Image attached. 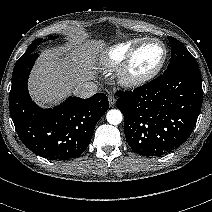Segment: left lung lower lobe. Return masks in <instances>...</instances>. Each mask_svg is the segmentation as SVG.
<instances>
[{
	"instance_id": "obj_1",
	"label": "left lung lower lobe",
	"mask_w": 212,
	"mask_h": 212,
	"mask_svg": "<svg viewBox=\"0 0 212 212\" xmlns=\"http://www.w3.org/2000/svg\"><path fill=\"white\" fill-rule=\"evenodd\" d=\"M118 97L130 147L143 156H161L193 131L203 100L200 70L181 67Z\"/></svg>"
}]
</instances>
